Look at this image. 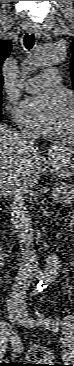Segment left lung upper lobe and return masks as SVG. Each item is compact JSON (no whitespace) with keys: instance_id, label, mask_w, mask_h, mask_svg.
Returning a JSON list of instances; mask_svg holds the SVG:
<instances>
[{"instance_id":"5c2ea615","label":"left lung upper lobe","mask_w":74,"mask_h":366,"mask_svg":"<svg viewBox=\"0 0 74 366\" xmlns=\"http://www.w3.org/2000/svg\"><path fill=\"white\" fill-rule=\"evenodd\" d=\"M70 49H71V52H72V59H71V63H70V65H71V76H72V86L74 88V40L71 43Z\"/></svg>"}]
</instances>
